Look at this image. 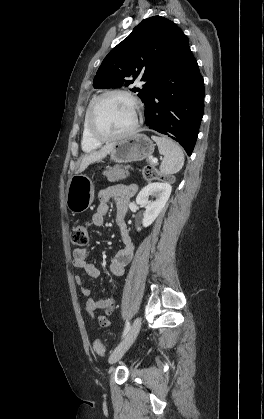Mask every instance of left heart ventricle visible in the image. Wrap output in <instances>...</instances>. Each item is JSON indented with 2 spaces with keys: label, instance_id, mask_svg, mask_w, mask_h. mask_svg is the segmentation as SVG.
Segmentation results:
<instances>
[{
  "label": "left heart ventricle",
  "instance_id": "left-heart-ventricle-1",
  "mask_svg": "<svg viewBox=\"0 0 264 419\" xmlns=\"http://www.w3.org/2000/svg\"><path fill=\"white\" fill-rule=\"evenodd\" d=\"M136 108L125 96L105 98L95 114L96 129L105 135H115L129 130L135 121Z\"/></svg>",
  "mask_w": 264,
  "mask_h": 419
}]
</instances>
